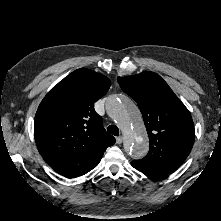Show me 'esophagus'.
<instances>
[{"label":"esophagus","instance_id":"obj_1","mask_svg":"<svg viewBox=\"0 0 221 221\" xmlns=\"http://www.w3.org/2000/svg\"><path fill=\"white\" fill-rule=\"evenodd\" d=\"M122 141H123L122 136H118V137L116 138V143H117V144H121Z\"/></svg>","mask_w":221,"mask_h":221}]
</instances>
